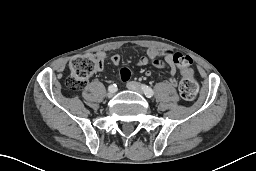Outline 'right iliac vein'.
I'll list each match as a JSON object with an SVG mask.
<instances>
[{"mask_svg": "<svg viewBox=\"0 0 256 171\" xmlns=\"http://www.w3.org/2000/svg\"><path fill=\"white\" fill-rule=\"evenodd\" d=\"M115 95V91L114 90H109V92L107 93V97L108 98H112Z\"/></svg>", "mask_w": 256, "mask_h": 171, "instance_id": "63e3f726", "label": "right iliac vein"}]
</instances>
